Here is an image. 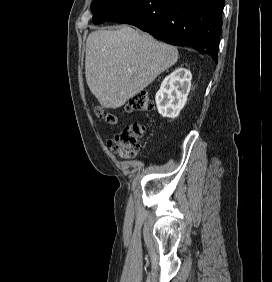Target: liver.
<instances>
[{"label": "liver", "mask_w": 272, "mask_h": 282, "mask_svg": "<svg viewBox=\"0 0 272 282\" xmlns=\"http://www.w3.org/2000/svg\"><path fill=\"white\" fill-rule=\"evenodd\" d=\"M178 50L130 26L98 30L86 40L85 76L104 108L116 109L177 62Z\"/></svg>", "instance_id": "1"}]
</instances>
